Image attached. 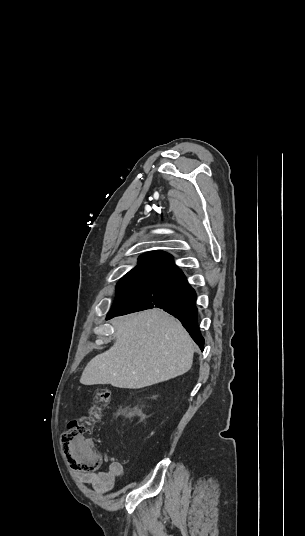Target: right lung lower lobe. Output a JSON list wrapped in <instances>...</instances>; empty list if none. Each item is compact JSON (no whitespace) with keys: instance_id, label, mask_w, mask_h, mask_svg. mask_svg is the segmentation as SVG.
Returning a JSON list of instances; mask_svg holds the SVG:
<instances>
[{"instance_id":"right-lung-lower-lobe-1","label":"right lung lower lobe","mask_w":305,"mask_h":536,"mask_svg":"<svg viewBox=\"0 0 305 536\" xmlns=\"http://www.w3.org/2000/svg\"><path fill=\"white\" fill-rule=\"evenodd\" d=\"M196 297L194 289L188 284L184 274L180 272L165 278L126 309L107 315L106 319L158 307L178 318L193 340L203 350L204 338L198 326Z\"/></svg>"}]
</instances>
